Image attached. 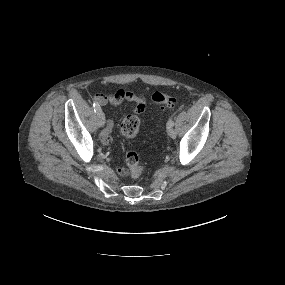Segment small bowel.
<instances>
[{
    "instance_id": "small-bowel-1",
    "label": "small bowel",
    "mask_w": 285,
    "mask_h": 285,
    "mask_svg": "<svg viewBox=\"0 0 285 285\" xmlns=\"http://www.w3.org/2000/svg\"><path fill=\"white\" fill-rule=\"evenodd\" d=\"M95 102L98 105L105 106V105H112V106H119L123 103H128L131 105L134 112L140 114L145 111L146 108V98L142 95H136L135 93L129 90H118L112 94H104L100 93L95 95ZM113 128V123L111 120H108L106 128L101 133V140L105 144H109L111 142V130ZM116 171L120 176H126L127 170L118 165L116 167Z\"/></svg>"
}]
</instances>
